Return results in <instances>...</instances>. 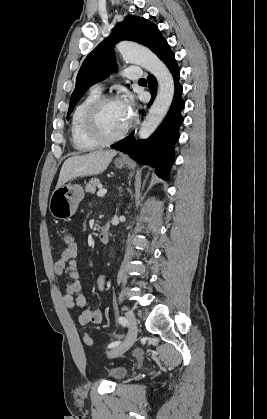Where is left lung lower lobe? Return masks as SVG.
Returning <instances> with one entry per match:
<instances>
[{
    "instance_id": "0a47b994",
    "label": "left lung lower lobe",
    "mask_w": 267,
    "mask_h": 419,
    "mask_svg": "<svg viewBox=\"0 0 267 419\" xmlns=\"http://www.w3.org/2000/svg\"><path fill=\"white\" fill-rule=\"evenodd\" d=\"M158 57L169 68L175 83L174 99L168 114L148 139L136 141L133 135H129L112 145V148L130 155L140 164L154 167L159 177L169 180L170 168L174 162V145L179 139V127L183 122L181 111L185 102L182 99V86L179 83L180 69L168 43ZM147 81L151 92L149 106L156 97L157 80L150 74Z\"/></svg>"
}]
</instances>
